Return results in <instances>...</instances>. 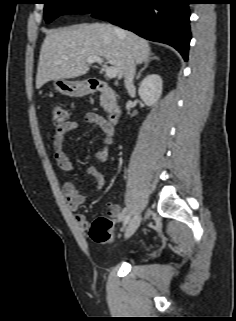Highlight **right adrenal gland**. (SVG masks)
Here are the masks:
<instances>
[{
    "label": "right adrenal gland",
    "instance_id": "right-adrenal-gland-1",
    "mask_svg": "<svg viewBox=\"0 0 236 321\" xmlns=\"http://www.w3.org/2000/svg\"><path fill=\"white\" fill-rule=\"evenodd\" d=\"M150 60H158V58L156 56L151 57L149 60H147L143 66V68L138 72L136 79L138 80L141 77L142 72L147 69V67L149 66V62Z\"/></svg>",
    "mask_w": 236,
    "mask_h": 321
}]
</instances>
